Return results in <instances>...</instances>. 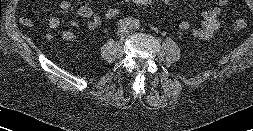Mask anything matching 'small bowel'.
I'll use <instances>...</instances> for the list:
<instances>
[{
	"label": "small bowel",
	"mask_w": 253,
	"mask_h": 131,
	"mask_svg": "<svg viewBox=\"0 0 253 131\" xmlns=\"http://www.w3.org/2000/svg\"><path fill=\"white\" fill-rule=\"evenodd\" d=\"M165 4H169L171 0H162ZM229 0H217V3L212 8L205 10L201 15V25L199 27H192L190 23L186 20H180L176 23L177 29L183 32H189L192 36L198 39H210L220 29L219 16L221 14L222 7L227 5ZM72 4L69 0H63L60 2L59 7L63 11H67L71 8ZM77 14L85 20V25L90 30H95L99 28L104 22L103 14L95 12L91 7L87 5H82L77 9ZM20 23L26 27L30 28L32 26L31 19L24 13L20 17ZM71 26L77 29L80 24L77 20L71 21ZM60 26V19L56 16H52L48 20V27L52 30L57 29ZM52 35L47 32L45 38L50 40ZM62 38L65 41L71 42L76 38L75 33L70 29H65L62 31Z\"/></svg>",
	"instance_id": "c3829d8e"
}]
</instances>
